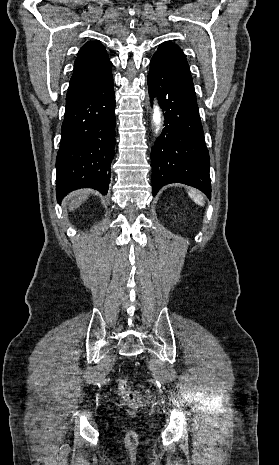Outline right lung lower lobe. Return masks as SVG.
I'll return each mask as SVG.
<instances>
[{"label": "right lung lower lobe", "mask_w": 279, "mask_h": 465, "mask_svg": "<svg viewBox=\"0 0 279 465\" xmlns=\"http://www.w3.org/2000/svg\"><path fill=\"white\" fill-rule=\"evenodd\" d=\"M112 74L91 93L66 107L56 158V193L88 187L107 194L115 148Z\"/></svg>", "instance_id": "98d812e1"}]
</instances>
